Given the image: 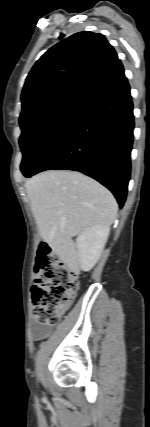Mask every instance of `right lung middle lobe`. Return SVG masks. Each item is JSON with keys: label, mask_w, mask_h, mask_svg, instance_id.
<instances>
[{"label": "right lung middle lobe", "mask_w": 150, "mask_h": 427, "mask_svg": "<svg viewBox=\"0 0 150 427\" xmlns=\"http://www.w3.org/2000/svg\"><path fill=\"white\" fill-rule=\"evenodd\" d=\"M79 106L53 104L36 108L19 118L23 153L21 171L29 177L45 154L62 134Z\"/></svg>", "instance_id": "right-lung-middle-lobe-1"}]
</instances>
